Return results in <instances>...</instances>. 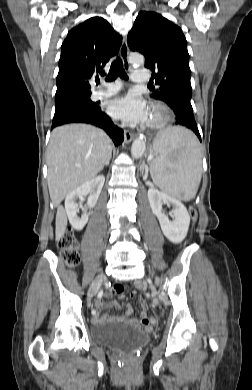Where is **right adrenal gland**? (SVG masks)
Wrapping results in <instances>:
<instances>
[{
  "mask_svg": "<svg viewBox=\"0 0 252 390\" xmlns=\"http://www.w3.org/2000/svg\"><path fill=\"white\" fill-rule=\"evenodd\" d=\"M110 159H111V156L109 157V159L107 160V162L103 165L102 169L104 168V166L109 165ZM102 169H101V170H102Z\"/></svg>",
  "mask_w": 252,
  "mask_h": 390,
  "instance_id": "right-adrenal-gland-1",
  "label": "right adrenal gland"
}]
</instances>
